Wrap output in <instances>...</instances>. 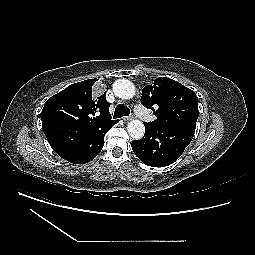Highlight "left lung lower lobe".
Returning a JSON list of instances; mask_svg holds the SVG:
<instances>
[{
	"label": "left lung lower lobe",
	"mask_w": 255,
	"mask_h": 255,
	"mask_svg": "<svg viewBox=\"0 0 255 255\" xmlns=\"http://www.w3.org/2000/svg\"><path fill=\"white\" fill-rule=\"evenodd\" d=\"M144 125L145 134L132 141V149L144 164L152 167H165L176 161L194 136L188 130Z\"/></svg>",
	"instance_id": "left-lung-lower-lobe-1"
}]
</instances>
